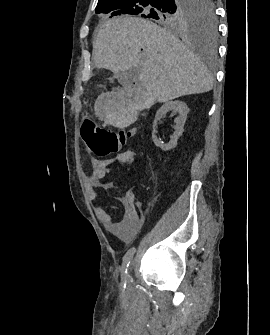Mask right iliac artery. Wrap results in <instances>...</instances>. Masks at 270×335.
I'll use <instances>...</instances> for the list:
<instances>
[{
    "mask_svg": "<svg viewBox=\"0 0 270 335\" xmlns=\"http://www.w3.org/2000/svg\"><path fill=\"white\" fill-rule=\"evenodd\" d=\"M135 251H136V249L134 247H132L127 251V253L123 257L122 270H121V278H122L121 287L122 288L126 287V281H127V277H128V267H129L130 261H131L133 255H134Z\"/></svg>",
    "mask_w": 270,
    "mask_h": 335,
    "instance_id": "82829eb1",
    "label": "right iliac artery"
}]
</instances>
